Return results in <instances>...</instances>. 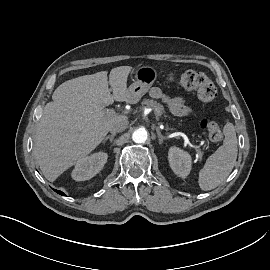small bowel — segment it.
Listing matches in <instances>:
<instances>
[{
  "instance_id": "c3829d8e",
  "label": "small bowel",
  "mask_w": 270,
  "mask_h": 270,
  "mask_svg": "<svg viewBox=\"0 0 270 270\" xmlns=\"http://www.w3.org/2000/svg\"><path fill=\"white\" fill-rule=\"evenodd\" d=\"M150 96L154 99H161L168 108L177 116H187L191 113V108L185 105V101L180 97H167L159 87H152Z\"/></svg>"
}]
</instances>
